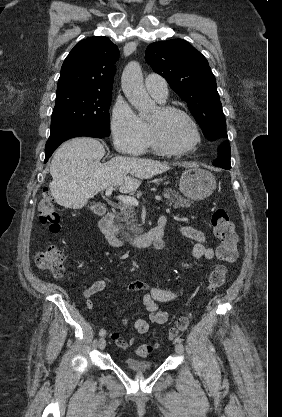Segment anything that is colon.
Wrapping results in <instances>:
<instances>
[{
  "label": "colon",
  "instance_id": "obj_1",
  "mask_svg": "<svg viewBox=\"0 0 282 417\" xmlns=\"http://www.w3.org/2000/svg\"><path fill=\"white\" fill-rule=\"evenodd\" d=\"M39 211L41 223L48 228L51 233H58L61 230V222L56 205L48 187L44 188L39 199ZM211 227L213 228L217 239L220 241L218 255L220 259L227 263L236 260L238 253V236L235 232L234 225L230 220L227 211L223 208H216L212 211L210 217ZM36 266L45 272L50 273L54 278H61L64 274V255L56 247H50L41 252L36 257ZM227 270L223 266H216L211 272L206 288L209 292L218 290L224 283ZM190 322V317H182L176 323V327L170 330L168 336L170 339H179L181 331L184 330ZM140 356H151V347H140Z\"/></svg>",
  "mask_w": 282,
  "mask_h": 417
}]
</instances>
